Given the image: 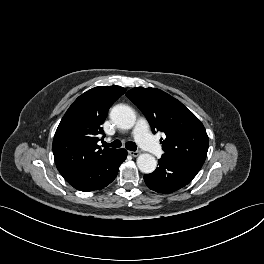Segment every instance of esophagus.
<instances>
[{
    "label": "esophagus",
    "mask_w": 264,
    "mask_h": 264,
    "mask_svg": "<svg viewBox=\"0 0 264 264\" xmlns=\"http://www.w3.org/2000/svg\"><path fill=\"white\" fill-rule=\"evenodd\" d=\"M128 153L133 156V157H137L140 155V152L139 151H128Z\"/></svg>",
    "instance_id": "1"
}]
</instances>
